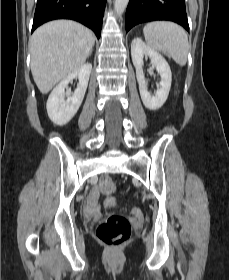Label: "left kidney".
Here are the masks:
<instances>
[{"mask_svg": "<svg viewBox=\"0 0 229 280\" xmlns=\"http://www.w3.org/2000/svg\"><path fill=\"white\" fill-rule=\"evenodd\" d=\"M132 62L136 69L139 91L144 106L150 110H157L165 103L169 95L172 82V73L166 59L157 51L148 47L140 38H135L131 43ZM149 57L152 65L160 74V88L155 95H151L143 73V58Z\"/></svg>", "mask_w": 229, "mask_h": 280, "instance_id": "left-kidney-1", "label": "left kidney"}]
</instances>
